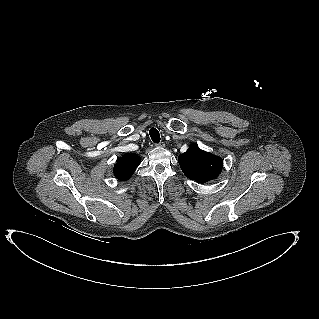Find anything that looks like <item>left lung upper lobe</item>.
Instances as JSON below:
<instances>
[{
    "label": "left lung upper lobe",
    "mask_w": 319,
    "mask_h": 319,
    "mask_svg": "<svg viewBox=\"0 0 319 319\" xmlns=\"http://www.w3.org/2000/svg\"><path fill=\"white\" fill-rule=\"evenodd\" d=\"M183 173L198 183H206L215 179L221 172L223 161L220 157L191 146L178 157Z\"/></svg>",
    "instance_id": "5c2ea615"
}]
</instances>
